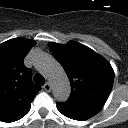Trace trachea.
<instances>
[{
    "label": "trachea",
    "mask_w": 128,
    "mask_h": 128,
    "mask_svg": "<svg viewBox=\"0 0 128 128\" xmlns=\"http://www.w3.org/2000/svg\"><path fill=\"white\" fill-rule=\"evenodd\" d=\"M34 82L37 85H43L45 83V78L41 74H35L34 76Z\"/></svg>",
    "instance_id": "obj_1"
}]
</instances>
